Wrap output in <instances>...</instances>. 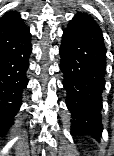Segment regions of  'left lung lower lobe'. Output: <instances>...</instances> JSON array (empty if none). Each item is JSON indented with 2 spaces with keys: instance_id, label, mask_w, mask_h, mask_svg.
Returning a JSON list of instances; mask_svg holds the SVG:
<instances>
[{
  "instance_id": "0a47b994",
  "label": "left lung lower lobe",
  "mask_w": 114,
  "mask_h": 156,
  "mask_svg": "<svg viewBox=\"0 0 114 156\" xmlns=\"http://www.w3.org/2000/svg\"><path fill=\"white\" fill-rule=\"evenodd\" d=\"M59 53L66 105L72 118L71 133L101 136L106 48L102 31L91 16H74L64 30Z\"/></svg>"
}]
</instances>
